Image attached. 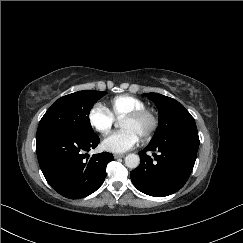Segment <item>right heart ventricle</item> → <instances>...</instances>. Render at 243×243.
I'll use <instances>...</instances> for the list:
<instances>
[{
  "instance_id": "e07e8e85",
  "label": "right heart ventricle",
  "mask_w": 243,
  "mask_h": 243,
  "mask_svg": "<svg viewBox=\"0 0 243 243\" xmlns=\"http://www.w3.org/2000/svg\"><path fill=\"white\" fill-rule=\"evenodd\" d=\"M145 103L130 95H118L109 101V111L116 119H121L125 115L137 110L145 109Z\"/></svg>"
}]
</instances>
